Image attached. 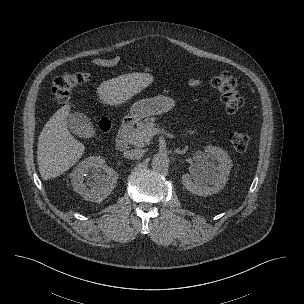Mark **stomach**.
<instances>
[{
    "instance_id": "1",
    "label": "stomach",
    "mask_w": 304,
    "mask_h": 304,
    "mask_svg": "<svg viewBox=\"0 0 304 304\" xmlns=\"http://www.w3.org/2000/svg\"><path fill=\"white\" fill-rule=\"evenodd\" d=\"M174 105L175 102L172 98L162 95L142 99L131 106L129 118L136 122L148 116L166 113Z\"/></svg>"
}]
</instances>
